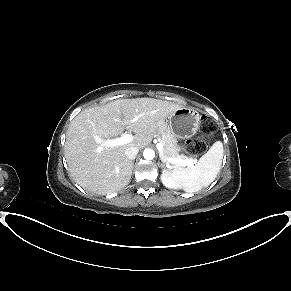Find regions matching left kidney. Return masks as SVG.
Listing matches in <instances>:
<instances>
[{
	"label": "left kidney",
	"instance_id": "1",
	"mask_svg": "<svg viewBox=\"0 0 291 291\" xmlns=\"http://www.w3.org/2000/svg\"><path fill=\"white\" fill-rule=\"evenodd\" d=\"M161 180L163 182V184L171 189H178L180 188V184L178 182H176L175 180H173L166 171H163L162 175H161Z\"/></svg>",
	"mask_w": 291,
	"mask_h": 291
}]
</instances>
